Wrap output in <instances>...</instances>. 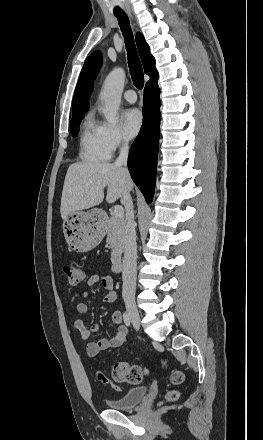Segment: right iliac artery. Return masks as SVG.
<instances>
[{
    "label": "right iliac artery",
    "mask_w": 263,
    "mask_h": 440,
    "mask_svg": "<svg viewBox=\"0 0 263 440\" xmlns=\"http://www.w3.org/2000/svg\"><path fill=\"white\" fill-rule=\"evenodd\" d=\"M123 320H124V323H125L126 326H130L131 319H130V316H129V314L127 312H124Z\"/></svg>",
    "instance_id": "1"
}]
</instances>
